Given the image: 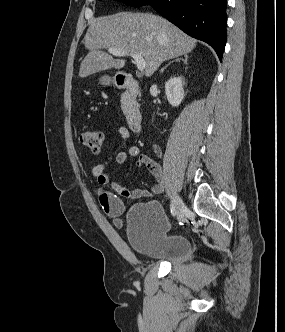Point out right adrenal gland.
<instances>
[{
	"instance_id": "right-adrenal-gland-1",
	"label": "right adrenal gland",
	"mask_w": 285,
	"mask_h": 332,
	"mask_svg": "<svg viewBox=\"0 0 285 332\" xmlns=\"http://www.w3.org/2000/svg\"><path fill=\"white\" fill-rule=\"evenodd\" d=\"M177 61H183L184 64H188V56L185 55L184 58H178V59H176V60H173V61L169 62L164 68H162V69L160 70V73H163L164 70H165V69H166L171 63H173V62H177Z\"/></svg>"
}]
</instances>
